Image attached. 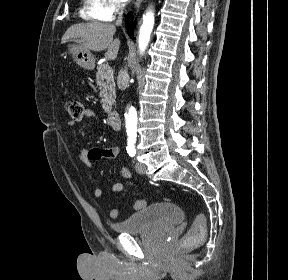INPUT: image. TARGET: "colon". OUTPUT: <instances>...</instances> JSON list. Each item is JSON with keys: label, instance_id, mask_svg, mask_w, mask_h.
Returning <instances> with one entry per match:
<instances>
[{"label": "colon", "instance_id": "5ec220e1", "mask_svg": "<svg viewBox=\"0 0 288 280\" xmlns=\"http://www.w3.org/2000/svg\"><path fill=\"white\" fill-rule=\"evenodd\" d=\"M65 108L69 114V116L74 120H81L84 116V106L80 101L73 100V99H67L65 100ZM146 206V201L141 199L135 202L134 208L135 209H142ZM119 216V210L118 209H112L110 211V217L112 219H116ZM206 236V219L202 213H198L193 223L187 232V234L184 236L182 240V247H192L195 245H198L202 243Z\"/></svg>", "mask_w": 288, "mask_h": 280}]
</instances>
